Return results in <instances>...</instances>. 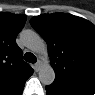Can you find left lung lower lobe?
Instances as JSON below:
<instances>
[{
    "mask_svg": "<svg viewBox=\"0 0 95 95\" xmlns=\"http://www.w3.org/2000/svg\"><path fill=\"white\" fill-rule=\"evenodd\" d=\"M95 88L70 81L53 83L46 87L47 95H93Z\"/></svg>",
    "mask_w": 95,
    "mask_h": 95,
    "instance_id": "left-lung-lower-lobe-1",
    "label": "left lung lower lobe"
}]
</instances>
